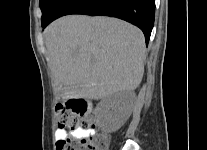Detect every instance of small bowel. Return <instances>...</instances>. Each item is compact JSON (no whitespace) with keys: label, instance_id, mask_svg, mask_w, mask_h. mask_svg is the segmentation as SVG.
Returning a JSON list of instances; mask_svg holds the SVG:
<instances>
[{"label":"small bowel","instance_id":"c3829d8e","mask_svg":"<svg viewBox=\"0 0 207 150\" xmlns=\"http://www.w3.org/2000/svg\"><path fill=\"white\" fill-rule=\"evenodd\" d=\"M93 130L91 129H79V130H74L71 132V136L73 138H80V137H87L93 134ZM68 134L64 129H57L55 131V138L57 139V141L67 138Z\"/></svg>","mask_w":207,"mask_h":150}]
</instances>
